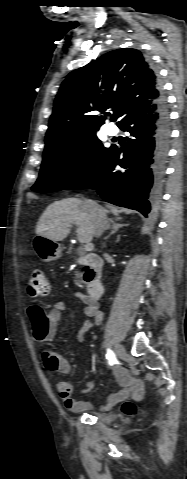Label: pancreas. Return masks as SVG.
<instances>
[{
  "instance_id": "pancreas-1",
  "label": "pancreas",
  "mask_w": 187,
  "mask_h": 479,
  "mask_svg": "<svg viewBox=\"0 0 187 479\" xmlns=\"http://www.w3.org/2000/svg\"><path fill=\"white\" fill-rule=\"evenodd\" d=\"M76 276H77V280H78V281L83 282V280H82V278H81V273L77 272V273H76Z\"/></svg>"
}]
</instances>
